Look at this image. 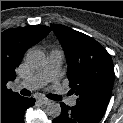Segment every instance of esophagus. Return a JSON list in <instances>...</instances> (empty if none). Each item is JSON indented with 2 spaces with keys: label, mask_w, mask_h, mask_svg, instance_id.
Wrapping results in <instances>:
<instances>
[{
  "label": "esophagus",
  "mask_w": 123,
  "mask_h": 123,
  "mask_svg": "<svg viewBox=\"0 0 123 123\" xmlns=\"http://www.w3.org/2000/svg\"><path fill=\"white\" fill-rule=\"evenodd\" d=\"M38 100H39L40 103H42L44 105H47V104H49L51 102L49 99L43 98V97L39 98Z\"/></svg>",
  "instance_id": "esophagus-1"
}]
</instances>
